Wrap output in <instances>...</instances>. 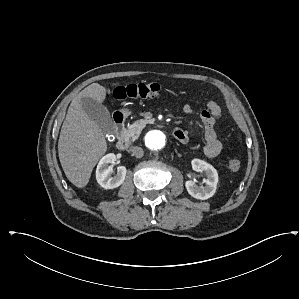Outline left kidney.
I'll list each match as a JSON object with an SVG mask.
<instances>
[{"label": "left kidney", "mask_w": 299, "mask_h": 299, "mask_svg": "<svg viewBox=\"0 0 299 299\" xmlns=\"http://www.w3.org/2000/svg\"><path fill=\"white\" fill-rule=\"evenodd\" d=\"M192 168L195 171H203L206 179H204L205 186H198L194 180H188L185 182V187L188 193L199 200H206L212 197L216 191L218 183V173L216 169L209 163L200 160L193 159Z\"/></svg>", "instance_id": "left-kidney-1"}]
</instances>
